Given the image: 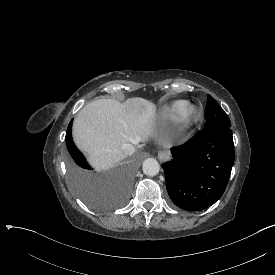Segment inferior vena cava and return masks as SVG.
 Listing matches in <instances>:
<instances>
[{
  "instance_id": "602c4592",
  "label": "inferior vena cava",
  "mask_w": 275,
  "mask_h": 275,
  "mask_svg": "<svg viewBox=\"0 0 275 275\" xmlns=\"http://www.w3.org/2000/svg\"><path fill=\"white\" fill-rule=\"evenodd\" d=\"M122 150L126 156L132 155L136 151L134 145H132V144H124L122 146Z\"/></svg>"
}]
</instances>
